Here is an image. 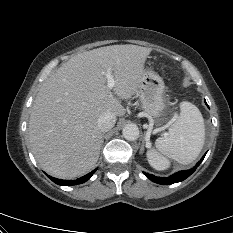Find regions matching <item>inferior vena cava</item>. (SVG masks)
I'll use <instances>...</instances> for the list:
<instances>
[{
  "label": "inferior vena cava",
  "mask_w": 233,
  "mask_h": 233,
  "mask_svg": "<svg viewBox=\"0 0 233 233\" xmlns=\"http://www.w3.org/2000/svg\"><path fill=\"white\" fill-rule=\"evenodd\" d=\"M115 122L116 116L113 113L107 111L100 115L97 121V126L101 132H107L115 125Z\"/></svg>",
  "instance_id": "1"
}]
</instances>
